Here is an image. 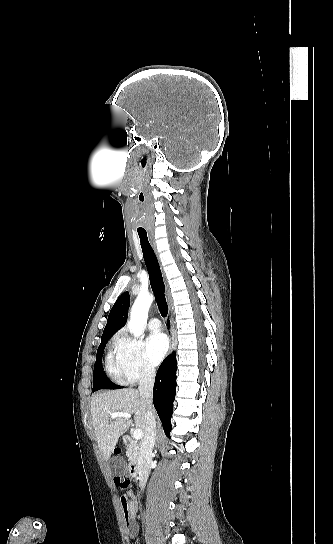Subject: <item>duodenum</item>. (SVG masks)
Segmentation results:
<instances>
[{"label": "duodenum", "mask_w": 333, "mask_h": 544, "mask_svg": "<svg viewBox=\"0 0 333 544\" xmlns=\"http://www.w3.org/2000/svg\"><path fill=\"white\" fill-rule=\"evenodd\" d=\"M123 442L133 455H138L140 446L128 435L123 437ZM148 470V463L143 459L135 458L129 468L130 476L136 480H141L145 477Z\"/></svg>", "instance_id": "duodenum-1"}]
</instances>
